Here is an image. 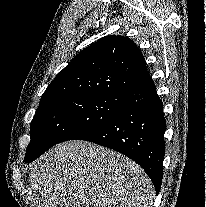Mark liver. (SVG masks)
<instances>
[{"mask_svg":"<svg viewBox=\"0 0 206 207\" xmlns=\"http://www.w3.org/2000/svg\"><path fill=\"white\" fill-rule=\"evenodd\" d=\"M29 182L42 207H151L155 196L135 162L80 140L60 143L36 159Z\"/></svg>","mask_w":206,"mask_h":207,"instance_id":"liver-1","label":"liver"}]
</instances>
